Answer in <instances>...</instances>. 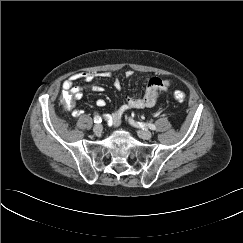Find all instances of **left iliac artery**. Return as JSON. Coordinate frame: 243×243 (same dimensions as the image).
<instances>
[{
	"label": "left iliac artery",
	"instance_id": "44dca946",
	"mask_svg": "<svg viewBox=\"0 0 243 243\" xmlns=\"http://www.w3.org/2000/svg\"><path fill=\"white\" fill-rule=\"evenodd\" d=\"M131 122L134 123V121H132V120H131ZM135 125H136L137 127H140V128H144V127L147 126V127H148L149 129H151V130H155V129H156L155 125H153V124H151V123L145 124V123H142V122H137V123H135Z\"/></svg>",
	"mask_w": 243,
	"mask_h": 243
}]
</instances>
